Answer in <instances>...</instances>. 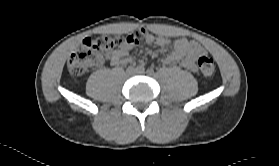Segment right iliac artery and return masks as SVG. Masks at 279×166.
I'll return each mask as SVG.
<instances>
[{
	"instance_id": "right-iliac-artery-1",
	"label": "right iliac artery",
	"mask_w": 279,
	"mask_h": 166,
	"mask_svg": "<svg viewBox=\"0 0 279 166\" xmlns=\"http://www.w3.org/2000/svg\"><path fill=\"white\" fill-rule=\"evenodd\" d=\"M136 70L138 72H144V70H145L144 65L142 64V65L137 66Z\"/></svg>"
}]
</instances>
